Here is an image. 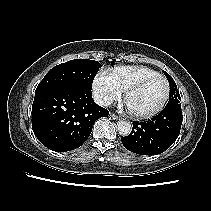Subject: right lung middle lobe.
<instances>
[{
    "label": "right lung middle lobe",
    "mask_w": 211,
    "mask_h": 211,
    "mask_svg": "<svg viewBox=\"0 0 211 211\" xmlns=\"http://www.w3.org/2000/svg\"><path fill=\"white\" fill-rule=\"evenodd\" d=\"M101 64L94 60H70L52 68L36 88L40 92L52 88L92 90V82Z\"/></svg>",
    "instance_id": "1"
}]
</instances>
